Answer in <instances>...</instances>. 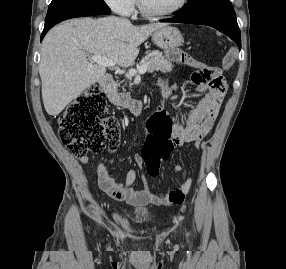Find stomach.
I'll list each match as a JSON object with an SVG mask.
<instances>
[{
	"label": "stomach",
	"instance_id": "obj_1",
	"mask_svg": "<svg viewBox=\"0 0 286 269\" xmlns=\"http://www.w3.org/2000/svg\"><path fill=\"white\" fill-rule=\"evenodd\" d=\"M152 41L161 49H177L183 41V36L176 27L165 26L153 32Z\"/></svg>",
	"mask_w": 286,
	"mask_h": 269
}]
</instances>
